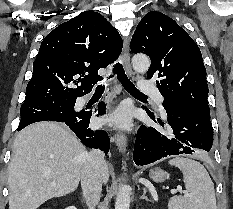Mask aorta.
<instances>
[{"label": "aorta", "instance_id": "obj_1", "mask_svg": "<svg viewBox=\"0 0 233 209\" xmlns=\"http://www.w3.org/2000/svg\"><path fill=\"white\" fill-rule=\"evenodd\" d=\"M133 69L138 73H145L150 67V59L144 54L134 55L132 58ZM131 187L122 184L115 201V209H129Z\"/></svg>", "mask_w": 233, "mask_h": 209}]
</instances>
